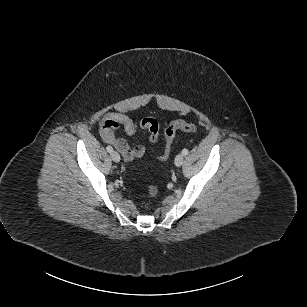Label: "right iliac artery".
I'll list each match as a JSON object with an SVG mask.
<instances>
[{"mask_svg":"<svg viewBox=\"0 0 307 307\" xmlns=\"http://www.w3.org/2000/svg\"><path fill=\"white\" fill-rule=\"evenodd\" d=\"M106 149H107L108 152H112L113 151V148L111 146H107Z\"/></svg>","mask_w":307,"mask_h":307,"instance_id":"obj_1","label":"right iliac artery"}]
</instances>
